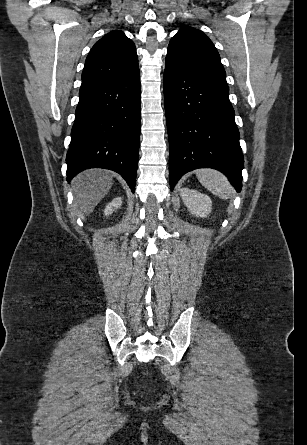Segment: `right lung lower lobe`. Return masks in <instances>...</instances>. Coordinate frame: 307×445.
<instances>
[{"mask_svg":"<svg viewBox=\"0 0 307 445\" xmlns=\"http://www.w3.org/2000/svg\"><path fill=\"white\" fill-rule=\"evenodd\" d=\"M140 73L82 85L71 143L67 181L88 168L118 172L135 191L140 141Z\"/></svg>","mask_w":307,"mask_h":445,"instance_id":"98d812e1","label":"right lung lower lobe"}]
</instances>
